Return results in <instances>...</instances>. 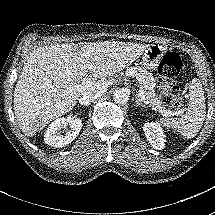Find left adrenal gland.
Segmentation results:
<instances>
[{
    "label": "left adrenal gland",
    "instance_id": "left-adrenal-gland-1",
    "mask_svg": "<svg viewBox=\"0 0 215 215\" xmlns=\"http://www.w3.org/2000/svg\"><path fill=\"white\" fill-rule=\"evenodd\" d=\"M135 102L138 105L145 106L142 104V99H141V97H139V95H135Z\"/></svg>",
    "mask_w": 215,
    "mask_h": 215
}]
</instances>
